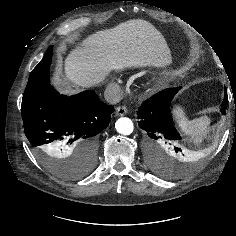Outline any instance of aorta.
Masks as SVG:
<instances>
[{
	"label": "aorta",
	"mask_w": 236,
	"mask_h": 236,
	"mask_svg": "<svg viewBox=\"0 0 236 236\" xmlns=\"http://www.w3.org/2000/svg\"><path fill=\"white\" fill-rule=\"evenodd\" d=\"M115 128L116 131L122 135H130L134 130V125L131 119L121 117L116 121Z\"/></svg>",
	"instance_id": "762f6f07"
}]
</instances>
